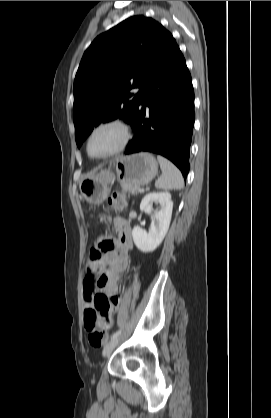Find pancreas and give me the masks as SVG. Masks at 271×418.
<instances>
[{
    "instance_id": "obj_1",
    "label": "pancreas",
    "mask_w": 271,
    "mask_h": 418,
    "mask_svg": "<svg viewBox=\"0 0 271 418\" xmlns=\"http://www.w3.org/2000/svg\"><path fill=\"white\" fill-rule=\"evenodd\" d=\"M121 187L124 192H128L129 194H132V195L137 194L140 188L138 185H134L128 182H121Z\"/></svg>"
}]
</instances>
